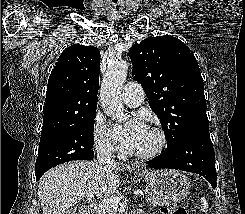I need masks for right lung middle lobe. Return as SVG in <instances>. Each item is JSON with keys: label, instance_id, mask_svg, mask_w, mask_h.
Segmentation results:
<instances>
[{"label": "right lung middle lobe", "instance_id": "1", "mask_svg": "<svg viewBox=\"0 0 245 214\" xmlns=\"http://www.w3.org/2000/svg\"><path fill=\"white\" fill-rule=\"evenodd\" d=\"M96 110L73 125L48 135H41L35 173L72 160L93 158V129Z\"/></svg>", "mask_w": 245, "mask_h": 214}]
</instances>
